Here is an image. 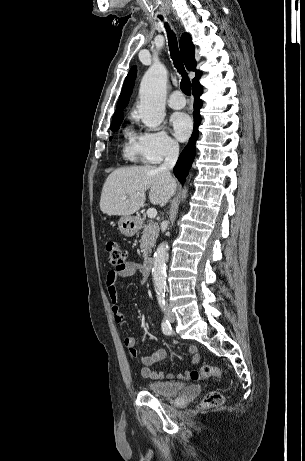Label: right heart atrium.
Returning <instances> with one entry per match:
<instances>
[{"mask_svg":"<svg viewBox=\"0 0 305 461\" xmlns=\"http://www.w3.org/2000/svg\"><path fill=\"white\" fill-rule=\"evenodd\" d=\"M140 158L151 164H157L164 158L177 153L178 143L164 130L147 129L136 136Z\"/></svg>","mask_w":305,"mask_h":461,"instance_id":"1","label":"right heart atrium"}]
</instances>
